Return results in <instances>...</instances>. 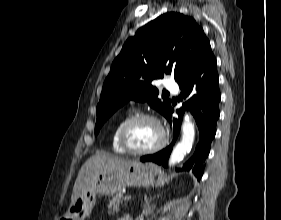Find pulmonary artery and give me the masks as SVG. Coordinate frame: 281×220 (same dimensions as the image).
I'll return each instance as SVG.
<instances>
[{"instance_id":"pulmonary-artery-1","label":"pulmonary artery","mask_w":281,"mask_h":220,"mask_svg":"<svg viewBox=\"0 0 281 220\" xmlns=\"http://www.w3.org/2000/svg\"><path fill=\"white\" fill-rule=\"evenodd\" d=\"M165 88L172 93H177L179 90L177 83L173 80H168L165 83Z\"/></svg>"}]
</instances>
